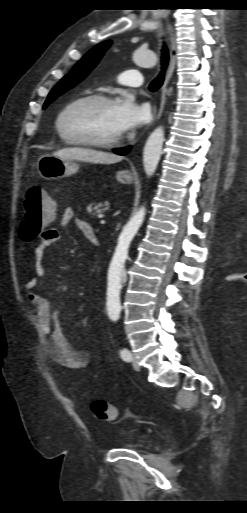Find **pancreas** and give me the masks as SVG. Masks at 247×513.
I'll return each mask as SVG.
<instances>
[{
    "mask_svg": "<svg viewBox=\"0 0 247 513\" xmlns=\"http://www.w3.org/2000/svg\"><path fill=\"white\" fill-rule=\"evenodd\" d=\"M109 208V203L108 202H99V203H92L88 206V212L92 215H99L103 212H105L106 210H108Z\"/></svg>",
    "mask_w": 247,
    "mask_h": 513,
    "instance_id": "pancreas-1",
    "label": "pancreas"
}]
</instances>
